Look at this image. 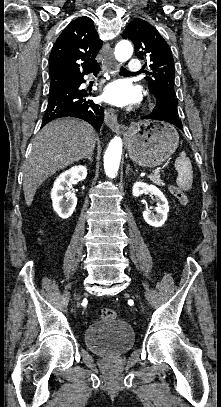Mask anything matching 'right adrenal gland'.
I'll list each match as a JSON object with an SVG mask.
<instances>
[{
	"label": "right adrenal gland",
	"mask_w": 221,
	"mask_h": 407,
	"mask_svg": "<svg viewBox=\"0 0 221 407\" xmlns=\"http://www.w3.org/2000/svg\"><path fill=\"white\" fill-rule=\"evenodd\" d=\"M85 159H88L90 162H93V153L86 156Z\"/></svg>",
	"instance_id": "1"
}]
</instances>
